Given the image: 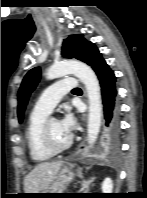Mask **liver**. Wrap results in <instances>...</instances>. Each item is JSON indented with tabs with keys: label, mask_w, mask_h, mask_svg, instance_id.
Masks as SVG:
<instances>
[{
	"label": "liver",
	"mask_w": 147,
	"mask_h": 198,
	"mask_svg": "<svg viewBox=\"0 0 147 198\" xmlns=\"http://www.w3.org/2000/svg\"><path fill=\"white\" fill-rule=\"evenodd\" d=\"M62 161L45 162L38 164L24 178L25 193H39L52 184L62 167Z\"/></svg>",
	"instance_id": "liver-1"
}]
</instances>
